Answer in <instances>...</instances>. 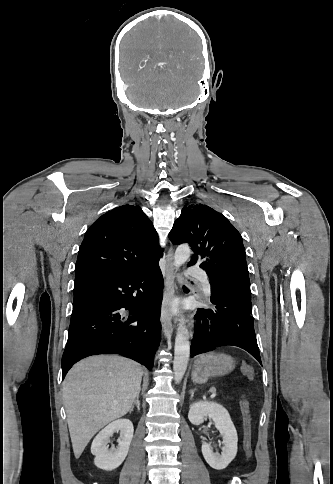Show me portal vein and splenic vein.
Segmentation results:
<instances>
[{
	"label": "portal vein and splenic vein",
	"mask_w": 333,
	"mask_h": 484,
	"mask_svg": "<svg viewBox=\"0 0 333 484\" xmlns=\"http://www.w3.org/2000/svg\"><path fill=\"white\" fill-rule=\"evenodd\" d=\"M211 392H212V396H214V397H215V396H216V389H215V388H213V389L211 390Z\"/></svg>",
	"instance_id": "18ae733b"
}]
</instances>
